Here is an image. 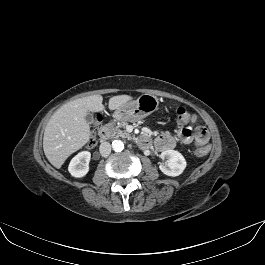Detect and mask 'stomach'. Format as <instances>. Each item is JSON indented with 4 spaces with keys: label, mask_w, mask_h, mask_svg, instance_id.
<instances>
[{
    "label": "stomach",
    "mask_w": 265,
    "mask_h": 265,
    "mask_svg": "<svg viewBox=\"0 0 265 265\" xmlns=\"http://www.w3.org/2000/svg\"><path fill=\"white\" fill-rule=\"evenodd\" d=\"M159 99L151 94H142L137 100L128 101L113 114L116 120L139 121L158 109Z\"/></svg>",
    "instance_id": "stomach-1"
}]
</instances>
